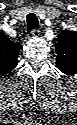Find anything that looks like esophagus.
<instances>
[{"label": "esophagus", "mask_w": 77, "mask_h": 125, "mask_svg": "<svg viewBox=\"0 0 77 125\" xmlns=\"http://www.w3.org/2000/svg\"><path fill=\"white\" fill-rule=\"evenodd\" d=\"M41 33V31L39 29H34L31 31L30 35H29V38H34V37H37L39 36Z\"/></svg>", "instance_id": "34e87169"}]
</instances>
